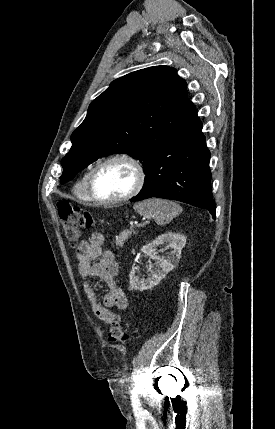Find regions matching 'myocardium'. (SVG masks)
Segmentation results:
<instances>
[{"label":"myocardium","instance_id":"obj_1","mask_svg":"<svg viewBox=\"0 0 275 429\" xmlns=\"http://www.w3.org/2000/svg\"><path fill=\"white\" fill-rule=\"evenodd\" d=\"M118 161L125 162V163L129 164L132 167V169L134 170L135 181H134L132 188L125 195H122V196L114 198V199H99V198H97L95 196L94 190H93V183H94V179H95L96 174L104 166H106L110 163H113V162H118ZM144 182H145V171H144V168H143L142 164L140 163V161L138 159L134 158L133 156L128 155V154H116V155H112V156H109V157L103 159L102 161L97 163L91 169V171L88 175V179H87L86 191H87V195H88L90 201H92L98 205H115V204H119V203L128 201L131 198L135 197L141 191V189L144 185Z\"/></svg>","mask_w":275,"mask_h":429}]
</instances>
